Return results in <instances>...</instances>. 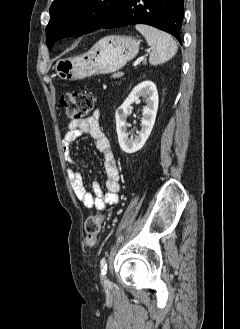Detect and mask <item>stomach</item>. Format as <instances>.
Returning <instances> with one entry per match:
<instances>
[{"mask_svg": "<svg viewBox=\"0 0 240 329\" xmlns=\"http://www.w3.org/2000/svg\"><path fill=\"white\" fill-rule=\"evenodd\" d=\"M139 51V42L129 36H107L88 52L56 61L53 69L63 80L83 79L97 74H110L121 69Z\"/></svg>", "mask_w": 240, "mask_h": 329, "instance_id": "0dacf381", "label": "stomach"}]
</instances>
